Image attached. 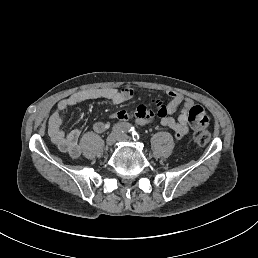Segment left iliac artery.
I'll list each match as a JSON object with an SVG mask.
<instances>
[{"label": "left iliac artery", "mask_w": 258, "mask_h": 258, "mask_svg": "<svg viewBox=\"0 0 258 258\" xmlns=\"http://www.w3.org/2000/svg\"><path fill=\"white\" fill-rule=\"evenodd\" d=\"M131 136H132V138H133V140H134L135 142H137V141L139 140V134H138V132L136 131V129H133V130H132Z\"/></svg>", "instance_id": "44dca946"}]
</instances>
